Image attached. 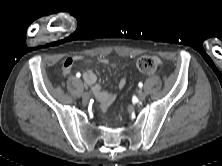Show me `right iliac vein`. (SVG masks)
<instances>
[{"instance_id":"63e3f726","label":"right iliac vein","mask_w":222,"mask_h":166,"mask_svg":"<svg viewBox=\"0 0 222 166\" xmlns=\"http://www.w3.org/2000/svg\"><path fill=\"white\" fill-rule=\"evenodd\" d=\"M89 98H90V94H89L88 92H84V93L82 94V99H83L84 101H88Z\"/></svg>"}]
</instances>
